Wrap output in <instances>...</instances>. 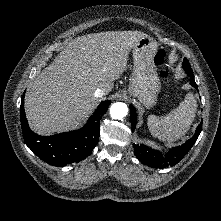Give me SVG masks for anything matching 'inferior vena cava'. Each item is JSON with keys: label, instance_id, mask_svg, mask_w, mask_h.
<instances>
[{"label": "inferior vena cava", "instance_id": "obj_1", "mask_svg": "<svg viewBox=\"0 0 221 221\" xmlns=\"http://www.w3.org/2000/svg\"><path fill=\"white\" fill-rule=\"evenodd\" d=\"M103 95H105V91L101 88H97L94 92L96 98L102 97Z\"/></svg>", "mask_w": 221, "mask_h": 221}]
</instances>
